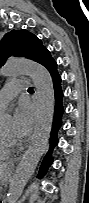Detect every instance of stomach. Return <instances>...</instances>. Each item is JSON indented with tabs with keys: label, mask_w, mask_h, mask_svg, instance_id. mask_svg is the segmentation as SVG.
Segmentation results:
<instances>
[{
	"label": "stomach",
	"mask_w": 89,
	"mask_h": 203,
	"mask_svg": "<svg viewBox=\"0 0 89 203\" xmlns=\"http://www.w3.org/2000/svg\"><path fill=\"white\" fill-rule=\"evenodd\" d=\"M9 172H10V167H8L6 170L7 176L4 178V181H7Z\"/></svg>",
	"instance_id": "stomach-1"
}]
</instances>
